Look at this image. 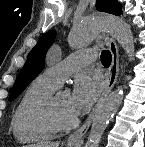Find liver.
<instances>
[{
    "mask_svg": "<svg viewBox=\"0 0 145 147\" xmlns=\"http://www.w3.org/2000/svg\"><path fill=\"white\" fill-rule=\"evenodd\" d=\"M27 147H59V142H41Z\"/></svg>",
    "mask_w": 145,
    "mask_h": 147,
    "instance_id": "obj_1",
    "label": "liver"
}]
</instances>
